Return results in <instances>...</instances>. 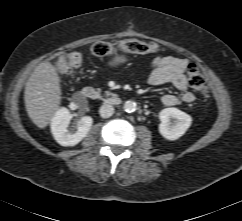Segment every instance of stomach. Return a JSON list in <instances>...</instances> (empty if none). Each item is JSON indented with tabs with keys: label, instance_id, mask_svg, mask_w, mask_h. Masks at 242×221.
Here are the masks:
<instances>
[{
	"label": "stomach",
	"instance_id": "obj_1",
	"mask_svg": "<svg viewBox=\"0 0 242 221\" xmlns=\"http://www.w3.org/2000/svg\"><path fill=\"white\" fill-rule=\"evenodd\" d=\"M126 61V57L124 55L116 54L109 62L108 65L111 67L118 66Z\"/></svg>",
	"mask_w": 242,
	"mask_h": 221
}]
</instances>
